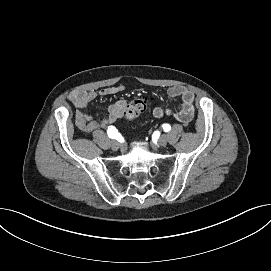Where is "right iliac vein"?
<instances>
[{"instance_id": "obj_1", "label": "right iliac vein", "mask_w": 271, "mask_h": 271, "mask_svg": "<svg viewBox=\"0 0 271 271\" xmlns=\"http://www.w3.org/2000/svg\"><path fill=\"white\" fill-rule=\"evenodd\" d=\"M111 148L113 149V150H118L119 149V143L117 142V141H112L111 142Z\"/></svg>"}]
</instances>
